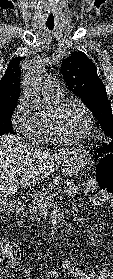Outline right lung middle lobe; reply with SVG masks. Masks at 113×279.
Returning <instances> with one entry per match:
<instances>
[{"instance_id":"obj_1","label":"right lung middle lobe","mask_w":113,"mask_h":279,"mask_svg":"<svg viewBox=\"0 0 113 279\" xmlns=\"http://www.w3.org/2000/svg\"><path fill=\"white\" fill-rule=\"evenodd\" d=\"M14 107L5 108L0 110V135L2 134H15L12 129L11 116L13 114Z\"/></svg>"}]
</instances>
